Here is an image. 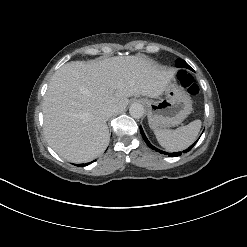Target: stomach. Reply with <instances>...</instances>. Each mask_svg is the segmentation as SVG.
<instances>
[{
    "label": "stomach",
    "mask_w": 247,
    "mask_h": 247,
    "mask_svg": "<svg viewBox=\"0 0 247 247\" xmlns=\"http://www.w3.org/2000/svg\"><path fill=\"white\" fill-rule=\"evenodd\" d=\"M164 94L165 97L160 100L143 101L149 125L154 130L177 126L192 111L190 96L176 82L170 81L164 88Z\"/></svg>",
    "instance_id": "stomach-1"
}]
</instances>
